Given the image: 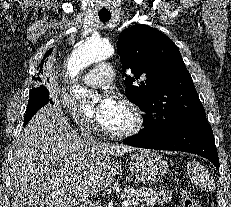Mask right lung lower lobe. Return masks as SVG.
Segmentation results:
<instances>
[{
    "label": "right lung lower lobe",
    "instance_id": "98d812e1",
    "mask_svg": "<svg viewBox=\"0 0 231 207\" xmlns=\"http://www.w3.org/2000/svg\"><path fill=\"white\" fill-rule=\"evenodd\" d=\"M49 93L47 88H45L42 92H38L35 98L28 103L27 112L24 117V125H26L33 115L45 104L48 103ZM53 103V102H52Z\"/></svg>",
    "mask_w": 231,
    "mask_h": 207
}]
</instances>
